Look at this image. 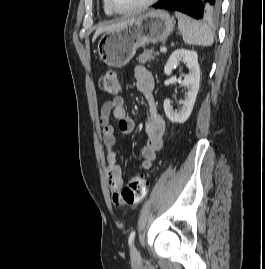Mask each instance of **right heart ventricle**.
Wrapping results in <instances>:
<instances>
[{
  "label": "right heart ventricle",
  "instance_id": "e07e8e85",
  "mask_svg": "<svg viewBox=\"0 0 265 269\" xmlns=\"http://www.w3.org/2000/svg\"><path fill=\"white\" fill-rule=\"evenodd\" d=\"M103 10L107 15H112L114 12L111 11V9L109 8L107 1L103 0Z\"/></svg>",
  "mask_w": 265,
  "mask_h": 269
}]
</instances>
